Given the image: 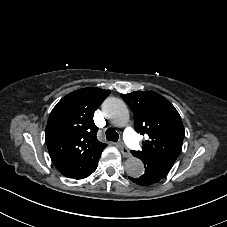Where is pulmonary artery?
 Masks as SVG:
<instances>
[{"label":"pulmonary artery","instance_id":"obj_1","mask_svg":"<svg viewBox=\"0 0 227 227\" xmlns=\"http://www.w3.org/2000/svg\"><path fill=\"white\" fill-rule=\"evenodd\" d=\"M137 136L134 133L133 130L128 129L124 133V141L126 142L127 146L131 149H134L137 147L138 142H137Z\"/></svg>","mask_w":227,"mask_h":227}]
</instances>
